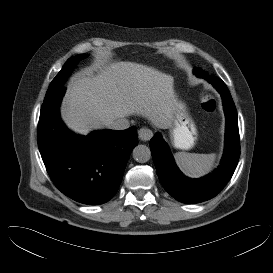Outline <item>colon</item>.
<instances>
[{
    "mask_svg": "<svg viewBox=\"0 0 273 273\" xmlns=\"http://www.w3.org/2000/svg\"><path fill=\"white\" fill-rule=\"evenodd\" d=\"M201 107L207 113H214L217 109V101L215 97L207 92L201 96Z\"/></svg>",
    "mask_w": 273,
    "mask_h": 273,
    "instance_id": "colon-1",
    "label": "colon"
}]
</instances>
